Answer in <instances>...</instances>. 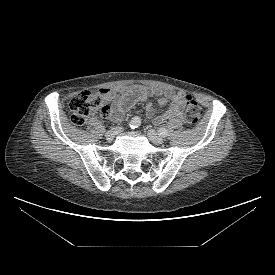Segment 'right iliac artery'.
I'll list each match as a JSON object with an SVG mask.
<instances>
[{"label": "right iliac artery", "instance_id": "obj_1", "mask_svg": "<svg viewBox=\"0 0 275 275\" xmlns=\"http://www.w3.org/2000/svg\"><path fill=\"white\" fill-rule=\"evenodd\" d=\"M140 124H141V119L138 116H135L134 118H132L130 122V128L135 129L139 127Z\"/></svg>", "mask_w": 275, "mask_h": 275}]
</instances>
